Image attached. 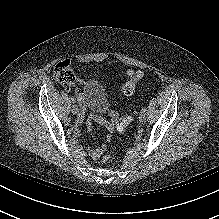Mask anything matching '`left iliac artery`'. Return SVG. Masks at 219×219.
<instances>
[{
	"label": "left iliac artery",
	"instance_id": "left-iliac-artery-1",
	"mask_svg": "<svg viewBox=\"0 0 219 219\" xmlns=\"http://www.w3.org/2000/svg\"><path fill=\"white\" fill-rule=\"evenodd\" d=\"M141 112H146V107H143V108L141 109Z\"/></svg>",
	"mask_w": 219,
	"mask_h": 219
}]
</instances>
